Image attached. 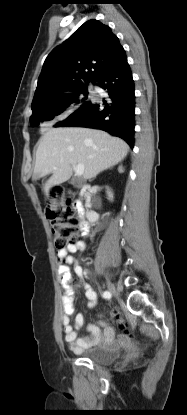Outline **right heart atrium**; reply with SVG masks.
<instances>
[{
	"label": "right heart atrium",
	"instance_id": "right-heart-atrium-1",
	"mask_svg": "<svg viewBox=\"0 0 187 415\" xmlns=\"http://www.w3.org/2000/svg\"><path fill=\"white\" fill-rule=\"evenodd\" d=\"M66 117H67V114L66 113H59V114H57L55 116V120L56 121H62L64 119H66Z\"/></svg>",
	"mask_w": 187,
	"mask_h": 415
}]
</instances>
